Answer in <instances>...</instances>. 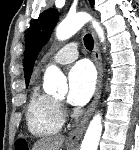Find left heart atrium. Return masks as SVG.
<instances>
[{
  "label": "left heart atrium",
  "mask_w": 139,
  "mask_h": 150,
  "mask_svg": "<svg viewBox=\"0 0 139 150\" xmlns=\"http://www.w3.org/2000/svg\"><path fill=\"white\" fill-rule=\"evenodd\" d=\"M69 93L68 101L72 105H85L92 97L96 75L93 67L86 61L74 65L68 74Z\"/></svg>",
  "instance_id": "obj_1"
}]
</instances>
